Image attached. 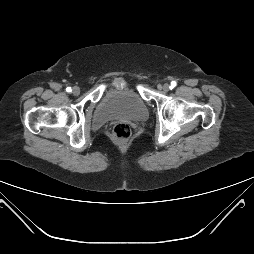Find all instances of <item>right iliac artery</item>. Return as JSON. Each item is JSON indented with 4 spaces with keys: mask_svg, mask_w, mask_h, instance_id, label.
<instances>
[{
    "mask_svg": "<svg viewBox=\"0 0 254 254\" xmlns=\"http://www.w3.org/2000/svg\"><path fill=\"white\" fill-rule=\"evenodd\" d=\"M66 91H67L68 93H70V92L72 91L71 87H67V88H66Z\"/></svg>",
    "mask_w": 254,
    "mask_h": 254,
    "instance_id": "obj_1",
    "label": "right iliac artery"
}]
</instances>
